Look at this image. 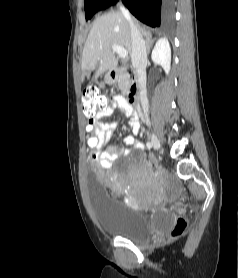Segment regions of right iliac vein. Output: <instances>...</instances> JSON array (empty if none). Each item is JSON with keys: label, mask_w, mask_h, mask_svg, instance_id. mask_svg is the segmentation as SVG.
Here are the masks:
<instances>
[{"label": "right iliac vein", "mask_w": 238, "mask_h": 278, "mask_svg": "<svg viewBox=\"0 0 238 278\" xmlns=\"http://www.w3.org/2000/svg\"><path fill=\"white\" fill-rule=\"evenodd\" d=\"M150 137H151V144H152L153 148L155 150H159L161 147V144H160L158 137L153 132L150 133Z\"/></svg>", "instance_id": "1"}]
</instances>
